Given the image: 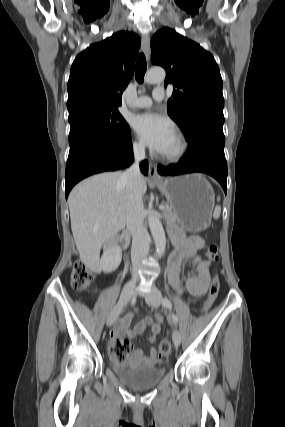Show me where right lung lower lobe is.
Returning <instances> with one entry per match:
<instances>
[{"mask_svg":"<svg viewBox=\"0 0 285 427\" xmlns=\"http://www.w3.org/2000/svg\"><path fill=\"white\" fill-rule=\"evenodd\" d=\"M133 160L131 135L114 139L98 132L79 136L70 144L66 164V198L72 187L85 177L104 171H115L129 166ZM141 171L148 174V162L140 164Z\"/></svg>","mask_w":285,"mask_h":427,"instance_id":"98d812e1","label":"right lung lower lobe"}]
</instances>
